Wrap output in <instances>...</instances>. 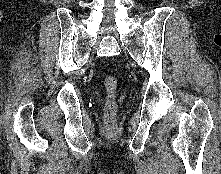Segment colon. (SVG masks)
<instances>
[{"label": "colon", "instance_id": "obj_1", "mask_svg": "<svg viewBox=\"0 0 221 174\" xmlns=\"http://www.w3.org/2000/svg\"><path fill=\"white\" fill-rule=\"evenodd\" d=\"M103 84L107 94L106 105L104 108L105 116L108 124L112 125L117 111V106L115 103L117 79L113 75H107L104 77Z\"/></svg>", "mask_w": 221, "mask_h": 174}]
</instances>
